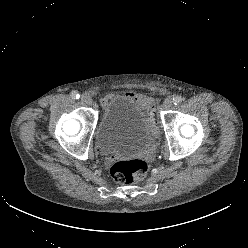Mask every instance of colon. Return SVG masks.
<instances>
[{
    "mask_svg": "<svg viewBox=\"0 0 248 248\" xmlns=\"http://www.w3.org/2000/svg\"><path fill=\"white\" fill-rule=\"evenodd\" d=\"M149 165L144 159L117 161L110 168V174L119 184H132L141 181L147 175Z\"/></svg>",
    "mask_w": 248,
    "mask_h": 248,
    "instance_id": "obj_1",
    "label": "colon"
}]
</instances>
